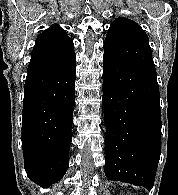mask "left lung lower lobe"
I'll return each mask as SVG.
<instances>
[{"instance_id":"left-lung-lower-lobe-1","label":"left lung lower lobe","mask_w":178,"mask_h":195,"mask_svg":"<svg viewBox=\"0 0 178 195\" xmlns=\"http://www.w3.org/2000/svg\"><path fill=\"white\" fill-rule=\"evenodd\" d=\"M105 175L151 189L161 153L156 74L103 56Z\"/></svg>"}]
</instances>
